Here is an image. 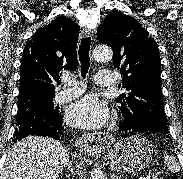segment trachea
<instances>
[{
	"instance_id": "3493384b",
	"label": "trachea",
	"mask_w": 183,
	"mask_h": 179,
	"mask_svg": "<svg viewBox=\"0 0 183 179\" xmlns=\"http://www.w3.org/2000/svg\"><path fill=\"white\" fill-rule=\"evenodd\" d=\"M90 43H91L90 37L83 38L78 50L79 60L81 63V76L83 78L86 77V74L90 66V57H89Z\"/></svg>"
}]
</instances>
